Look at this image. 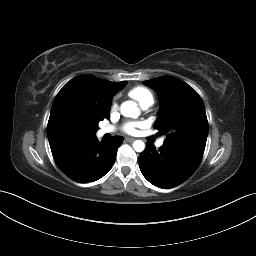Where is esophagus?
Masks as SVG:
<instances>
[{"label":"esophagus","mask_w":256,"mask_h":256,"mask_svg":"<svg viewBox=\"0 0 256 256\" xmlns=\"http://www.w3.org/2000/svg\"><path fill=\"white\" fill-rule=\"evenodd\" d=\"M135 139L134 138H129V137H126L125 138V141L126 142H133Z\"/></svg>","instance_id":"esophagus-1"}]
</instances>
